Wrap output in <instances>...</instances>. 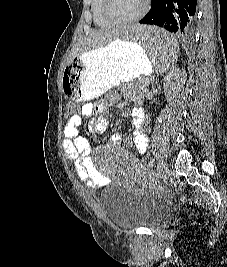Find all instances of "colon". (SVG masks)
<instances>
[{"label": "colon", "mask_w": 227, "mask_h": 267, "mask_svg": "<svg viewBox=\"0 0 227 267\" xmlns=\"http://www.w3.org/2000/svg\"><path fill=\"white\" fill-rule=\"evenodd\" d=\"M76 110H79V105H68L67 111H65V116H77L78 112Z\"/></svg>", "instance_id": "1"}]
</instances>
